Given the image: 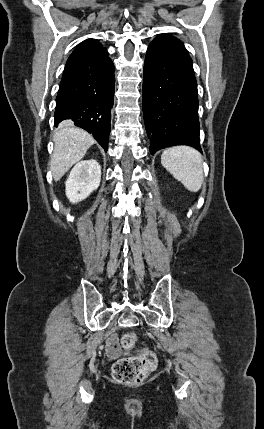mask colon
Masks as SVG:
<instances>
[{"mask_svg": "<svg viewBox=\"0 0 264 429\" xmlns=\"http://www.w3.org/2000/svg\"><path fill=\"white\" fill-rule=\"evenodd\" d=\"M137 336L133 332L123 335L121 345L124 350L131 351L137 345ZM157 366V357L149 349L117 360L112 367L113 379L125 385H137L143 382Z\"/></svg>", "mask_w": 264, "mask_h": 429, "instance_id": "5ec220e1", "label": "colon"}]
</instances>
